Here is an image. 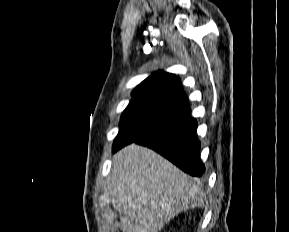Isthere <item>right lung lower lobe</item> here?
<instances>
[{
  "label": "right lung lower lobe",
  "mask_w": 289,
  "mask_h": 232,
  "mask_svg": "<svg viewBox=\"0 0 289 232\" xmlns=\"http://www.w3.org/2000/svg\"><path fill=\"white\" fill-rule=\"evenodd\" d=\"M196 129V120L187 112L135 142L159 152L184 172L200 177L205 167L200 160Z\"/></svg>",
  "instance_id": "obj_1"
}]
</instances>
